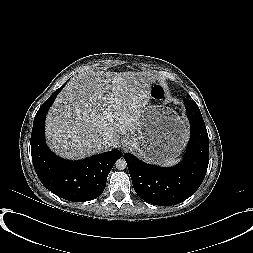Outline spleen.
I'll return each mask as SVG.
<instances>
[{
    "label": "spleen",
    "mask_w": 253,
    "mask_h": 253,
    "mask_svg": "<svg viewBox=\"0 0 253 253\" xmlns=\"http://www.w3.org/2000/svg\"><path fill=\"white\" fill-rule=\"evenodd\" d=\"M177 162H179V159H175V158H170V159H167L163 162H161L162 165L164 166H171V165H174L176 164Z\"/></svg>",
    "instance_id": "3e777b00"
}]
</instances>
